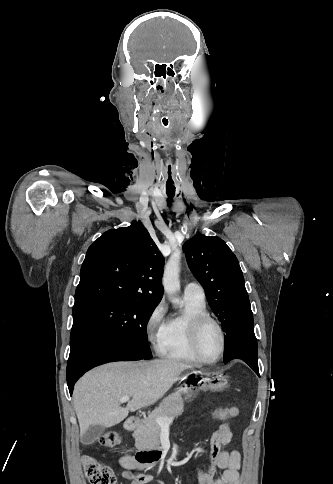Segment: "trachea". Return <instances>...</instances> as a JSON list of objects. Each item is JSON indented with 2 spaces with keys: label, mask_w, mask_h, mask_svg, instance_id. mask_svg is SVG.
<instances>
[{
  "label": "trachea",
  "mask_w": 333,
  "mask_h": 484,
  "mask_svg": "<svg viewBox=\"0 0 333 484\" xmlns=\"http://www.w3.org/2000/svg\"><path fill=\"white\" fill-rule=\"evenodd\" d=\"M163 124L165 126L168 125V120L166 118H163ZM168 183L170 186H173L174 185V182H173V176L172 175H169L168 176ZM173 199L172 198H168L167 199V203H168V206H171V203H172Z\"/></svg>",
  "instance_id": "obj_1"
}]
</instances>
